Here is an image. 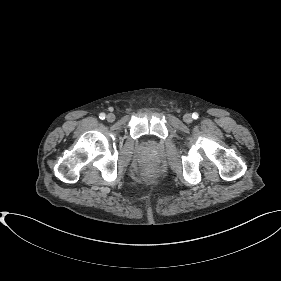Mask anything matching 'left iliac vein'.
Segmentation results:
<instances>
[{"mask_svg":"<svg viewBox=\"0 0 281 281\" xmlns=\"http://www.w3.org/2000/svg\"><path fill=\"white\" fill-rule=\"evenodd\" d=\"M183 120H184V122H186V123H191L192 121H193V118H192V115L191 114H185L184 115V117H183Z\"/></svg>","mask_w":281,"mask_h":281,"instance_id":"left-iliac-vein-1","label":"left iliac vein"}]
</instances>
